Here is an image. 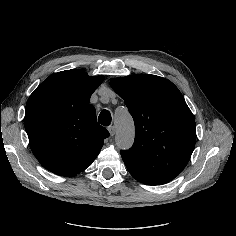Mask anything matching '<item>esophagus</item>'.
Masks as SVG:
<instances>
[{
	"mask_svg": "<svg viewBox=\"0 0 236 236\" xmlns=\"http://www.w3.org/2000/svg\"><path fill=\"white\" fill-rule=\"evenodd\" d=\"M108 131H109V133H110L111 136H114L115 133H116V129H115L114 126H110V127L108 128Z\"/></svg>",
	"mask_w": 236,
	"mask_h": 236,
	"instance_id": "34e87169",
	"label": "esophagus"
}]
</instances>
